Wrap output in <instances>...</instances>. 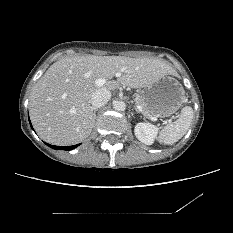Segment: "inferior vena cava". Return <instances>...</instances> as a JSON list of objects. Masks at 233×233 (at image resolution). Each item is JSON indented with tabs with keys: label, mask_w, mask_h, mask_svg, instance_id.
<instances>
[{
	"label": "inferior vena cava",
	"mask_w": 233,
	"mask_h": 233,
	"mask_svg": "<svg viewBox=\"0 0 233 233\" xmlns=\"http://www.w3.org/2000/svg\"><path fill=\"white\" fill-rule=\"evenodd\" d=\"M111 98V92L107 89H99L91 96V104L93 108H100L107 104Z\"/></svg>",
	"instance_id": "obj_1"
}]
</instances>
